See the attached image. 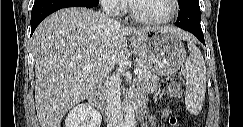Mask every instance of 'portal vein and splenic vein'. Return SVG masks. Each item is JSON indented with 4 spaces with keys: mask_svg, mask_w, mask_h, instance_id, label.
<instances>
[{
    "mask_svg": "<svg viewBox=\"0 0 243 127\" xmlns=\"http://www.w3.org/2000/svg\"><path fill=\"white\" fill-rule=\"evenodd\" d=\"M90 69H91V66L89 64L83 67L84 72H88ZM134 73L140 76L142 74V70L139 68H136L134 70Z\"/></svg>",
    "mask_w": 243,
    "mask_h": 127,
    "instance_id": "1",
    "label": "portal vein and splenic vein"
}]
</instances>
